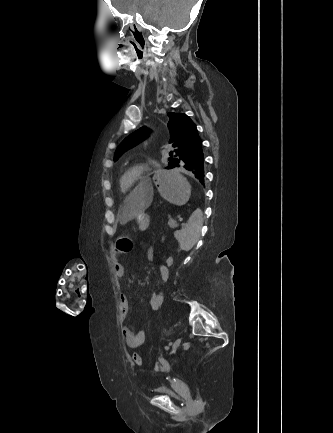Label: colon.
Wrapping results in <instances>:
<instances>
[{
    "instance_id": "1",
    "label": "colon",
    "mask_w": 333,
    "mask_h": 433,
    "mask_svg": "<svg viewBox=\"0 0 333 433\" xmlns=\"http://www.w3.org/2000/svg\"><path fill=\"white\" fill-rule=\"evenodd\" d=\"M115 248L119 251L122 252L124 251H128L132 248V242L130 241V237L129 236H116L115 237ZM165 265L168 268H171L174 265V262L172 261V257L171 256H166L165 257ZM153 293L152 297L149 299V306L152 308L151 314L154 313H158L159 312V308L162 307V302L159 299V295L158 293H156V291L153 289L151 291ZM132 361L135 365H141L142 363V359L141 356L138 353H134L132 355Z\"/></svg>"
}]
</instances>
